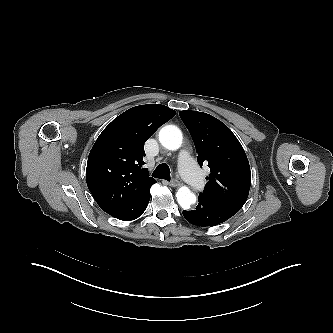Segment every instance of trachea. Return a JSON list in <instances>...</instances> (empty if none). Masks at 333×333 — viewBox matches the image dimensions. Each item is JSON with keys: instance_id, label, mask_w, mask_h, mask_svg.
Segmentation results:
<instances>
[{"instance_id": "obj_1", "label": "trachea", "mask_w": 333, "mask_h": 333, "mask_svg": "<svg viewBox=\"0 0 333 333\" xmlns=\"http://www.w3.org/2000/svg\"><path fill=\"white\" fill-rule=\"evenodd\" d=\"M152 176L158 179H165L170 181L171 176L169 166L166 163L159 164L152 173Z\"/></svg>"}]
</instances>
